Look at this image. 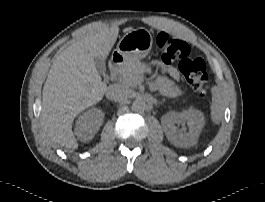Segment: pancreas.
I'll return each mask as SVG.
<instances>
[{
  "label": "pancreas",
  "instance_id": "cf45deb5",
  "mask_svg": "<svg viewBox=\"0 0 265 202\" xmlns=\"http://www.w3.org/2000/svg\"><path fill=\"white\" fill-rule=\"evenodd\" d=\"M145 72V65L139 60H128L124 65L119 69V78L122 83L127 86L135 87L139 84L143 78ZM157 83L159 88L166 89L172 92H176L178 95L182 94V91L178 86L163 76H158Z\"/></svg>",
  "mask_w": 265,
  "mask_h": 202
}]
</instances>
